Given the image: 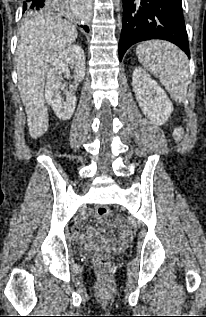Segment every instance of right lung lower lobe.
<instances>
[{
	"mask_svg": "<svg viewBox=\"0 0 206 317\" xmlns=\"http://www.w3.org/2000/svg\"><path fill=\"white\" fill-rule=\"evenodd\" d=\"M66 0H25L24 11L26 12H38V11H51L62 10L65 7ZM88 31L87 26H82Z\"/></svg>",
	"mask_w": 206,
	"mask_h": 317,
	"instance_id": "obj_1",
	"label": "right lung lower lobe"
}]
</instances>
